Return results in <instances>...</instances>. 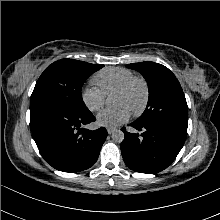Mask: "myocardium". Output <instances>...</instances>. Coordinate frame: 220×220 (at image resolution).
I'll return each instance as SVG.
<instances>
[{"label": "myocardium", "instance_id": "f54148a6", "mask_svg": "<svg viewBox=\"0 0 220 220\" xmlns=\"http://www.w3.org/2000/svg\"><path fill=\"white\" fill-rule=\"evenodd\" d=\"M136 84L141 85V87L143 89L142 104L138 109H136L132 112L134 116L138 117L145 112V110L148 106V103H149V99H150V88H149V84L145 78L140 77V76L132 77L127 82H125L121 87H119L114 92V94H125V93L129 92Z\"/></svg>", "mask_w": 220, "mask_h": 220}]
</instances>
